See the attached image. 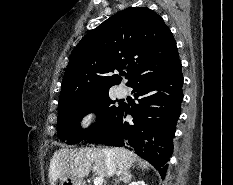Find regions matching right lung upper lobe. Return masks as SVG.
<instances>
[{"label": "right lung upper lobe", "mask_w": 233, "mask_h": 185, "mask_svg": "<svg viewBox=\"0 0 233 185\" xmlns=\"http://www.w3.org/2000/svg\"><path fill=\"white\" fill-rule=\"evenodd\" d=\"M179 58L163 19L146 8H130L90 31L72 51L62 81L59 107L108 91L127 69L130 85L142 74Z\"/></svg>", "instance_id": "1"}]
</instances>
